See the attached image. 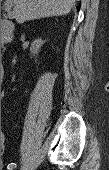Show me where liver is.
Returning a JSON list of instances; mask_svg holds the SVG:
<instances>
[{
    "label": "liver",
    "instance_id": "1",
    "mask_svg": "<svg viewBox=\"0 0 109 170\" xmlns=\"http://www.w3.org/2000/svg\"><path fill=\"white\" fill-rule=\"evenodd\" d=\"M76 0H6L18 23L33 19L62 16L71 11Z\"/></svg>",
    "mask_w": 109,
    "mask_h": 170
}]
</instances>
